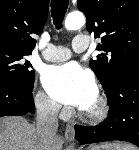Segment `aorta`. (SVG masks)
<instances>
[{"label": "aorta", "instance_id": "1", "mask_svg": "<svg viewBox=\"0 0 139 150\" xmlns=\"http://www.w3.org/2000/svg\"><path fill=\"white\" fill-rule=\"evenodd\" d=\"M85 24V16L82 12H71L65 19V28L67 30H77Z\"/></svg>", "mask_w": 139, "mask_h": 150}]
</instances>
